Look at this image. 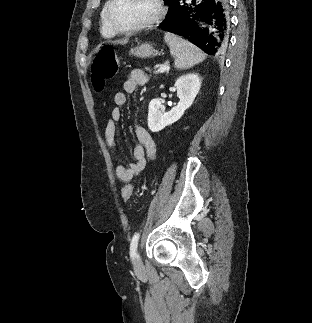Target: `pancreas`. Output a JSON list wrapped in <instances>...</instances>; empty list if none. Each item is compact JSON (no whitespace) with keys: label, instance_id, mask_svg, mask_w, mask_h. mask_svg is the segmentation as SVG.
Here are the masks:
<instances>
[{"label":"pancreas","instance_id":"pancreas-1","mask_svg":"<svg viewBox=\"0 0 312 323\" xmlns=\"http://www.w3.org/2000/svg\"><path fill=\"white\" fill-rule=\"evenodd\" d=\"M145 70H147V72H151V70H149V68H145Z\"/></svg>","mask_w":312,"mask_h":323}]
</instances>
